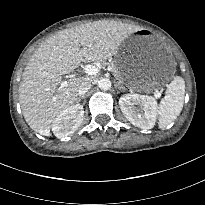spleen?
I'll use <instances>...</instances> for the list:
<instances>
[{
  "label": "spleen",
  "mask_w": 205,
  "mask_h": 205,
  "mask_svg": "<svg viewBox=\"0 0 205 205\" xmlns=\"http://www.w3.org/2000/svg\"><path fill=\"white\" fill-rule=\"evenodd\" d=\"M185 82L180 76H174L167 86L166 94L158 107L159 128L172 123L181 113L184 104Z\"/></svg>",
  "instance_id": "3e777b00"
}]
</instances>
